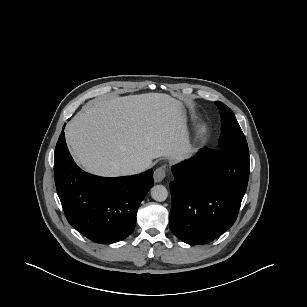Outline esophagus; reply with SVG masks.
Instances as JSON below:
<instances>
[{
  "label": "esophagus",
  "instance_id": "34e87169",
  "mask_svg": "<svg viewBox=\"0 0 307 307\" xmlns=\"http://www.w3.org/2000/svg\"><path fill=\"white\" fill-rule=\"evenodd\" d=\"M166 170V166H161L154 171V181L156 183L161 182L165 178Z\"/></svg>",
  "mask_w": 307,
  "mask_h": 307
}]
</instances>
